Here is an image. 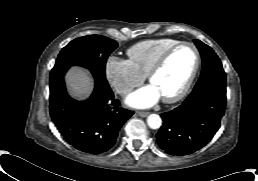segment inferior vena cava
Wrapping results in <instances>:
<instances>
[{"instance_id": "inferior-vena-cava-1", "label": "inferior vena cava", "mask_w": 258, "mask_h": 181, "mask_svg": "<svg viewBox=\"0 0 258 181\" xmlns=\"http://www.w3.org/2000/svg\"><path fill=\"white\" fill-rule=\"evenodd\" d=\"M131 90H132V89H131L130 87H127V86H120V87L117 88L116 91H117V93H119V94L125 95V94L129 93Z\"/></svg>"}]
</instances>
